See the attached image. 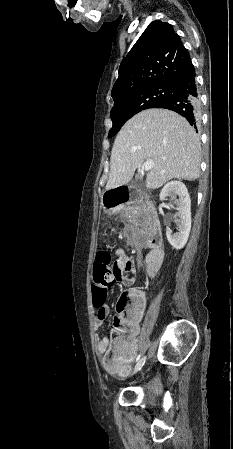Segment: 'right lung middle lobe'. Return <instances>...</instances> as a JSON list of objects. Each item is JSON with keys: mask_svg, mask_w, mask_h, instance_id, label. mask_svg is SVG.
Here are the masks:
<instances>
[{"mask_svg": "<svg viewBox=\"0 0 233 449\" xmlns=\"http://www.w3.org/2000/svg\"><path fill=\"white\" fill-rule=\"evenodd\" d=\"M171 87L167 84L152 85L114 99L111 110L113 127L108 137L114 136L124 123L138 112L156 107L171 95Z\"/></svg>", "mask_w": 233, "mask_h": 449, "instance_id": "obj_1", "label": "right lung middle lobe"}]
</instances>
